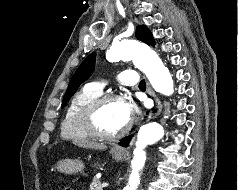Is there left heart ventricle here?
I'll use <instances>...</instances> for the list:
<instances>
[{"mask_svg": "<svg viewBox=\"0 0 238 190\" xmlns=\"http://www.w3.org/2000/svg\"><path fill=\"white\" fill-rule=\"evenodd\" d=\"M98 121L104 131L116 132L122 129L129 121L124 114L122 100L106 103L100 111Z\"/></svg>", "mask_w": 238, "mask_h": 190, "instance_id": "obj_1", "label": "left heart ventricle"}]
</instances>
